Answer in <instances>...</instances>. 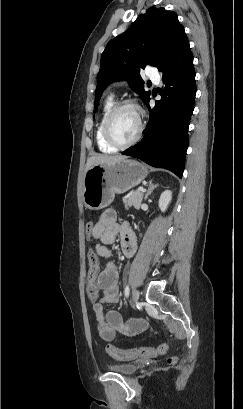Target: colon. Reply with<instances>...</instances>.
I'll return each instance as SVG.
<instances>
[{
    "mask_svg": "<svg viewBox=\"0 0 243 409\" xmlns=\"http://www.w3.org/2000/svg\"><path fill=\"white\" fill-rule=\"evenodd\" d=\"M95 227V224L93 221H88L85 226L86 233L88 235L92 234V231ZM90 257H94V253H90ZM87 293L91 301H97L99 297V292L95 287L89 286L87 287ZM167 346L166 344H161L157 347H136L132 349H118L115 348L111 345L106 346V352L113 357L114 359L117 360H122V361H132L135 359H142V358H147V357H154L158 354H162L166 352ZM178 358L177 357H171L169 358V363L175 364L177 363Z\"/></svg>",
    "mask_w": 243,
    "mask_h": 409,
    "instance_id": "colon-1",
    "label": "colon"
}]
</instances>
